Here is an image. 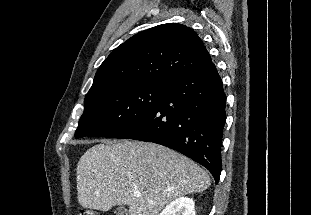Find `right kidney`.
<instances>
[{
    "instance_id": "1",
    "label": "right kidney",
    "mask_w": 311,
    "mask_h": 215,
    "mask_svg": "<svg viewBox=\"0 0 311 215\" xmlns=\"http://www.w3.org/2000/svg\"><path fill=\"white\" fill-rule=\"evenodd\" d=\"M159 215H196L192 198L180 197L168 204Z\"/></svg>"
}]
</instances>
